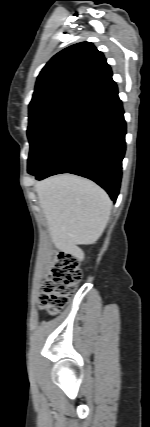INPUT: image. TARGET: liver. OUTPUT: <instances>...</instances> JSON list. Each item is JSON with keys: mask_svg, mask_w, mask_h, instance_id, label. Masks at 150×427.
Here are the masks:
<instances>
[{"mask_svg": "<svg viewBox=\"0 0 150 427\" xmlns=\"http://www.w3.org/2000/svg\"><path fill=\"white\" fill-rule=\"evenodd\" d=\"M35 188L58 250L76 254L77 245L93 244L102 235L112 201L97 184L63 174L37 182Z\"/></svg>", "mask_w": 150, "mask_h": 427, "instance_id": "liver-1", "label": "liver"}]
</instances>
